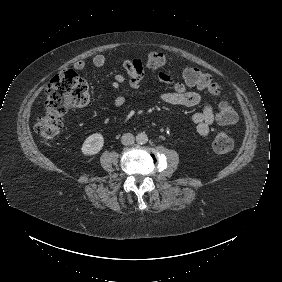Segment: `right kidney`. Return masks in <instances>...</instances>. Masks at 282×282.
<instances>
[{"instance_id": "obj_1", "label": "right kidney", "mask_w": 282, "mask_h": 282, "mask_svg": "<svg viewBox=\"0 0 282 282\" xmlns=\"http://www.w3.org/2000/svg\"><path fill=\"white\" fill-rule=\"evenodd\" d=\"M104 145V138L100 133L90 135L82 145V153L85 155L97 154Z\"/></svg>"}]
</instances>
